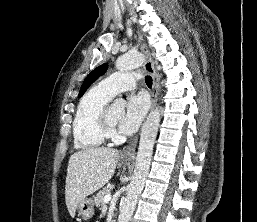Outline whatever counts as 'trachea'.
<instances>
[{"label": "trachea", "instance_id": "3493384b", "mask_svg": "<svg viewBox=\"0 0 257 222\" xmlns=\"http://www.w3.org/2000/svg\"><path fill=\"white\" fill-rule=\"evenodd\" d=\"M145 82H146V84H147V86H148L149 88L152 87V77H151V76H146V77H145Z\"/></svg>", "mask_w": 257, "mask_h": 222}]
</instances>
